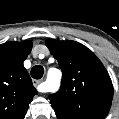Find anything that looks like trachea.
<instances>
[{"label":"trachea","mask_w":119,"mask_h":119,"mask_svg":"<svg viewBox=\"0 0 119 119\" xmlns=\"http://www.w3.org/2000/svg\"><path fill=\"white\" fill-rule=\"evenodd\" d=\"M44 74V68L41 65H36L31 69V76L34 79H41Z\"/></svg>","instance_id":"3493384b"}]
</instances>
